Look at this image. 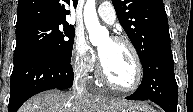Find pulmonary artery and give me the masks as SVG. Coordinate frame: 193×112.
I'll use <instances>...</instances> for the list:
<instances>
[{
  "instance_id": "1",
  "label": "pulmonary artery",
  "mask_w": 193,
  "mask_h": 112,
  "mask_svg": "<svg viewBox=\"0 0 193 112\" xmlns=\"http://www.w3.org/2000/svg\"><path fill=\"white\" fill-rule=\"evenodd\" d=\"M98 16L107 24H113L116 20V13L112 4L108 1L101 3L97 9Z\"/></svg>"
}]
</instances>
